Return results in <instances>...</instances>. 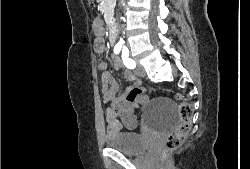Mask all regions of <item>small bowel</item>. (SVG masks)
I'll return each mask as SVG.
<instances>
[{
  "mask_svg": "<svg viewBox=\"0 0 250 169\" xmlns=\"http://www.w3.org/2000/svg\"><path fill=\"white\" fill-rule=\"evenodd\" d=\"M93 29L96 35H101L102 26L100 21H94ZM94 49L97 53H102L104 51L105 44L101 38L99 43L95 39ZM113 65L116 70H122L123 68L122 61L119 57L113 58ZM98 67L103 72L105 99L110 103L106 113L107 133L114 134L123 128L128 130L135 129L138 124L136 117L137 102L128 101L126 95L127 91L141 85L140 79H138L132 72L125 71L124 78L130 82L131 88L125 93L118 95L119 86L114 81L112 74L107 71L106 64L100 63ZM111 103H122V115H110V110L112 109L110 106Z\"/></svg>",
  "mask_w": 250,
  "mask_h": 169,
  "instance_id": "small-bowel-1",
  "label": "small bowel"
}]
</instances>
